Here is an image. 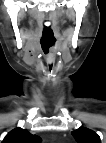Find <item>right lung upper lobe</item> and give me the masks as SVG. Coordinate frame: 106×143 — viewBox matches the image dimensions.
<instances>
[{"instance_id": "right-lung-upper-lobe-1", "label": "right lung upper lobe", "mask_w": 106, "mask_h": 143, "mask_svg": "<svg viewBox=\"0 0 106 143\" xmlns=\"http://www.w3.org/2000/svg\"><path fill=\"white\" fill-rule=\"evenodd\" d=\"M40 137L30 134L26 129L16 128L9 132L3 143H39Z\"/></svg>"}]
</instances>
